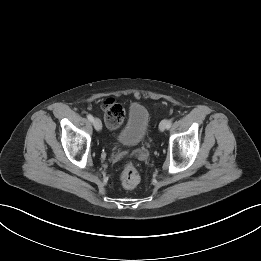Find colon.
<instances>
[{"label":"colon","mask_w":261,"mask_h":261,"mask_svg":"<svg viewBox=\"0 0 261 261\" xmlns=\"http://www.w3.org/2000/svg\"><path fill=\"white\" fill-rule=\"evenodd\" d=\"M104 119L110 128H118L124 121V108L113 99H108L103 104ZM140 173L135 165L127 163L121 173L120 180L123 187L132 189L140 182Z\"/></svg>","instance_id":"1"}]
</instances>
